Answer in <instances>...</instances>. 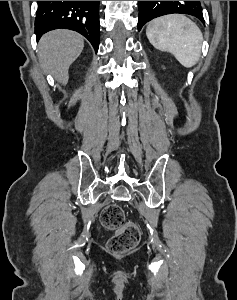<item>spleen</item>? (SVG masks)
Instances as JSON below:
<instances>
[{
  "mask_svg": "<svg viewBox=\"0 0 237 300\" xmlns=\"http://www.w3.org/2000/svg\"><path fill=\"white\" fill-rule=\"evenodd\" d=\"M147 39L159 51L172 53L183 67H194L201 57L203 35L185 15H165L150 21Z\"/></svg>",
  "mask_w": 237,
  "mask_h": 300,
  "instance_id": "1",
  "label": "spleen"
}]
</instances>
